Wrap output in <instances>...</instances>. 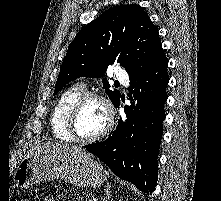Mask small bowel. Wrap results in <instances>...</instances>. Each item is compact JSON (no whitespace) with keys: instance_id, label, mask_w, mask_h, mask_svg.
<instances>
[{"instance_id":"obj_1","label":"small bowel","mask_w":221,"mask_h":201,"mask_svg":"<svg viewBox=\"0 0 221 201\" xmlns=\"http://www.w3.org/2000/svg\"><path fill=\"white\" fill-rule=\"evenodd\" d=\"M42 201H55L53 198L45 197Z\"/></svg>"}]
</instances>
